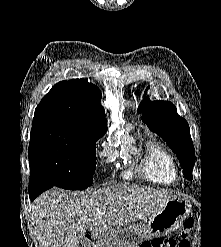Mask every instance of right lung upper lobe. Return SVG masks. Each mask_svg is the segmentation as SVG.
<instances>
[{
    "label": "right lung upper lobe",
    "mask_w": 221,
    "mask_h": 247,
    "mask_svg": "<svg viewBox=\"0 0 221 247\" xmlns=\"http://www.w3.org/2000/svg\"><path fill=\"white\" fill-rule=\"evenodd\" d=\"M101 92L85 79L54 85L35 109L32 129H65L100 138L107 131Z\"/></svg>",
    "instance_id": "obj_1"
}]
</instances>
